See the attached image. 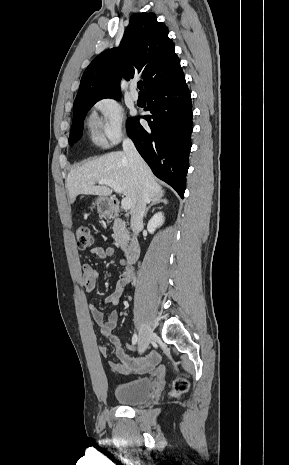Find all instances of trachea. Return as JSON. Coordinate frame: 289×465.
<instances>
[{
    "instance_id": "1",
    "label": "trachea",
    "mask_w": 289,
    "mask_h": 465,
    "mask_svg": "<svg viewBox=\"0 0 289 465\" xmlns=\"http://www.w3.org/2000/svg\"><path fill=\"white\" fill-rule=\"evenodd\" d=\"M137 87L140 89V91H143V82L142 81H139L137 83Z\"/></svg>"
}]
</instances>
